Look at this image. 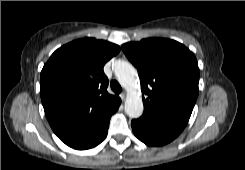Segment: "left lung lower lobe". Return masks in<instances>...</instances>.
I'll return each instance as SVG.
<instances>
[{
	"mask_svg": "<svg viewBox=\"0 0 245 170\" xmlns=\"http://www.w3.org/2000/svg\"><path fill=\"white\" fill-rule=\"evenodd\" d=\"M186 125L184 120L149 109H144L143 115L131 122L135 136L149 146H162L171 142Z\"/></svg>",
	"mask_w": 245,
	"mask_h": 170,
	"instance_id": "0a47b994",
	"label": "left lung lower lobe"
}]
</instances>
